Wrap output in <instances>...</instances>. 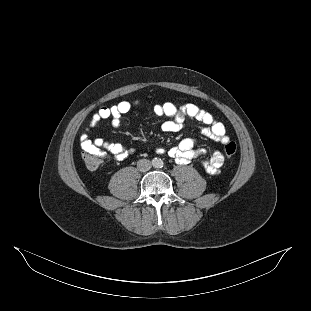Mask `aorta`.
I'll return each instance as SVG.
<instances>
[{
    "mask_svg": "<svg viewBox=\"0 0 311 311\" xmlns=\"http://www.w3.org/2000/svg\"><path fill=\"white\" fill-rule=\"evenodd\" d=\"M152 165H153V167H155V168H160V167L163 166V161H162L161 159H159V158H154V159L152 160Z\"/></svg>",
    "mask_w": 311,
    "mask_h": 311,
    "instance_id": "obj_1",
    "label": "aorta"
}]
</instances>
